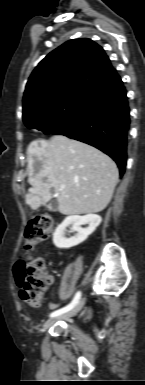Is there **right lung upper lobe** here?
<instances>
[{"label": "right lung upper lobe", "instance_id": "1", "mask_svg": "<svg viewBox=\"0 0 145 385\" xmlns=\"http://www.w3.org/2000/svg\"><path fill=\"white\" fill-rule=\"evenodd\" d=\"M120 77L104 50L90 39H73L49 53L32 72L23 115L72 89L97 92Z\"/></svg>", "mask_w": 145, "mask_h": 385}]
</instances>
